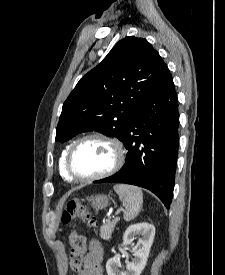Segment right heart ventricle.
Listing matches in <instances>:
<instances>
[{
	"label": "right heart ventricle",
	"instance_id": "e07e8e85",
	"mask_svg": "<svg viewBox=\"0 0 225 275\" xmlns=\"http://www.w3.org/2000/svg\"><path fill=\"white\" fill-rule=\"evenodd\" d=\"M68 149H69V146H66L65 149L62 151L58 166H59V172H60L61 177L66 181H72L73 178L67 173L66 168H65V158H66Z\"/></svg>",
	"mask_w": 225,
	"mask_h": 275
}]
</instances>
